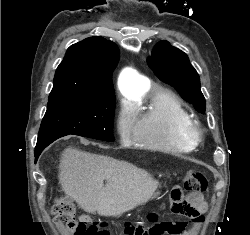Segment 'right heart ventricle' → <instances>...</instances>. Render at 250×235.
I'll list each match as a JSON object with an SVG mask.
<instances>
[{"mask_svg":"<svg viewBox=\"0 0 250 235\" xmlns=\"http://www.w3.org/2000/svg\"><path fill=\"white\" fill-rule=\"evenodd\" d=\"M192 121L190 112L173 93L161 90L147 107L136 113L135 142L150 151L182 155L193 150L182 136V129Z\"/></svg>","mask_w":250,"mask_h":235,"instance_id":"obj_1","label":"right heart ventricle"}]
</instances>
